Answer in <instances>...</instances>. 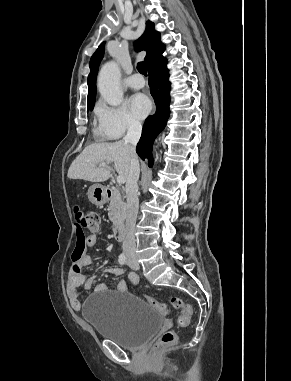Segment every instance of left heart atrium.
Instances as JSON below:
<instances>
[{"label":"left heart atrium","instance_id":"left-heart-atrium-1","mask_svg":"<svg viewBox=\"0 0 291 381\" xmlns=\"http://www.w3.org/2000/svg\"><path fill=\"white\" fill-rule=\"evenodd\" d=\"M131 108L136 116L144 118L151 111L150 99L144 94H136L131 99Z\"/></svg>","mask_w":291,"mask_h":381}]
</instances>
